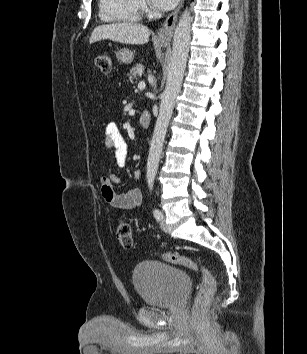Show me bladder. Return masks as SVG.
I'll list each match as a JSON object with an SVG mask.
<instances>
[{"label":"bladder","mask_w":307,"mask_h":354,"mask_svg":"<svg viewBox=\"0 0 307 354\" xmlns=\"http://www.w3.org/2000/svg\"><path fill=\"white\" fill-rule=\"evenodd\" d=\"M132 280L145 304L168 308L179 306L192 284L187 272L157 260L138 263Z\"/></svg>","instance_id":"bladder-1"}]
</instances>
